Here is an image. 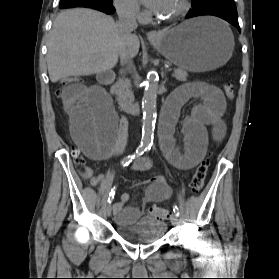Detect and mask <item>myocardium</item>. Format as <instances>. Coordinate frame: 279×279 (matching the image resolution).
I'll return each mask as SVG.
<instances>
[{"mask_svg": "<svg viewBox=\"0 0 279 279\" xmlns=\"http://www.w3.org/2000/svg\"><path fill=\"white\" fill-rule=\"evenodd\" d=\"M189 7H190L189 0H181V5H180L179 9L172 16L163 17V18H159V19L164 22H174V21L180 19L182 16H184L187 13V11L189 10Z\"/></svg>", "mask_w": 279, "mask_h": 279, "instance_id": "f54148a6", "label": "myocardium"}]
</instances>
